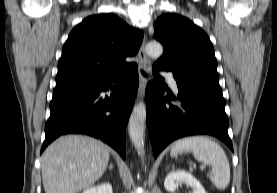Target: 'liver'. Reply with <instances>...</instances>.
<instances>
[{
  "instance_id": "6515ba94",
  "label": "liver",
  "mask_w": 277,
  "mask_h": 193,
  "mask_svg": "<svg viewBox=\"0 0 277 193\" xmlns=\"http://www.w3.org/2000/svg\"><path fill=\"white\" fill-rule=\"evenodd\" d=\"M109 148L84 135H67L49 145L41 158L45 193H78L88 189L105 172Z\"/></svg>"
}]
</instances>
